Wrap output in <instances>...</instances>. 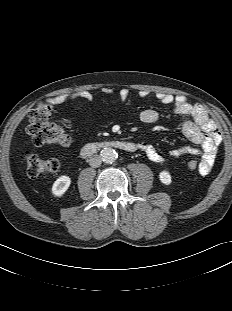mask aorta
<instances>
[{
	"instance_id": "aorta-1",
	"label": "aorta",
	"mask_w": 232,
	"mask_h": 311,
	"mask_svg": "<svg viewBox=\"0 0 232 311\" xmlns=\"http://www.w3.org/2000/svg\"><path fill=\"white\" fill-rule=\"evenodd\" d=\"M101 158L107 164H112L118 158L117 152L111 147H105L101 150Z\"/></svg>"
}]
</instances>
